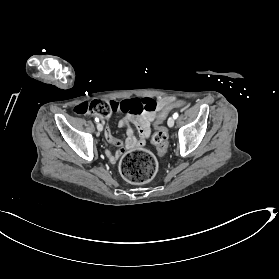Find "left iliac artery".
Here are the masks:
<instances>
[{"mask_svg": "<svg viewBox=\"0 0 279 279\" xmlns=\"http://www.w3.org/2000/svg\"><path fill=\"white\" fill-rule=\"evenodd\" d=\"M178 116H179V114L176 112V113H174L173 118H174V119H177Z\"/></svg>", "mask_w": 279, "mask_h": 279, "instance_id": "44dca946", "label": "left iliac artery"}]
</instances>
